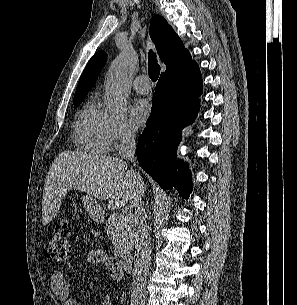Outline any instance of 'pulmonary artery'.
<instances>
[{"mask_svg": "<svg viewBox=\"0 0 297 305\" xmlns=\"http://www.w3.org/2000/svg\"><path fill=\"white\" fill-rule=\"evenodd\" d=\"M132 86L140 94H148L151 91L148 77L144 74L137 76L133 80Z\"/></svg>", "mask_w": 297, "mask_h": 305, "instance_id": "obj_1", "label": "pulmonary artery"}]
</instances>
